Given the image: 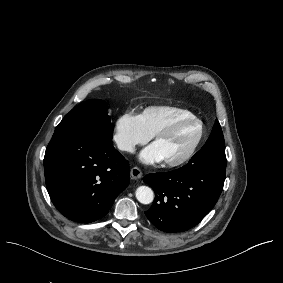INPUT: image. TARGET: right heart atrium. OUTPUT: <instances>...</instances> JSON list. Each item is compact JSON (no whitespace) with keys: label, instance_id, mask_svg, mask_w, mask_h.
Returning a JSON list of instances; mask_svg holds the SVG:
<instances>
[{"label":"right heart atrium","instance_id":"obj_1","mask_svg":"<svg viewBox=\"0 0 283 283\" xmlns=\"http://www.w3.org/2000/svg\"><path fill=\"white\" fill-rule=\"evenodd\" d=\"M151 136L142 117L131 111L122 112L113 120L112 141L122 152L132 153L137 145L144 144Z\"/></svg>","mask_w":283,"mask_h":283}]
</instances>
